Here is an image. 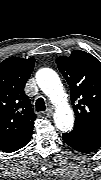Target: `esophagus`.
I'll return each mask as SVG.
<instances>
[{"instance_id": "34e87169", "label": "esophagus", "mask_w": 101, "mask_h": 180, "mask_svg": "<svg viewBox=\"0 0 101 180\" xmlns=\"http://www.w3.org/2000/svg\"><path fill=\"white\" fill-rule=\"evenodd\" d=\"M46 115H48V116H50V115H52L53 114V108H51V107H48L47 109H46Z\"/></svg>"}]
</instances>
